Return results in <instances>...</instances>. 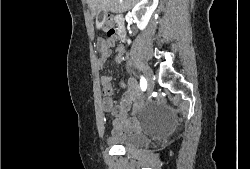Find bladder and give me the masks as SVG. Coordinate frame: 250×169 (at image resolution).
<instances>
[{"instance_id": "obj_1", "label": "bladder", "mask_w": 250, "mask_h": 169, "mask_svg": "<svg viewBox=\"0 0 250 169\" xmlns=\"http://www.w3.org/2000/svg\"><path fill=\"white\" fill-rule=\"evenodd\" d=\"M149 134L144 133H114V135H107L106 141L112 147H119L124 149H144L150 145Z\"/></svg>"}]
</instances>
